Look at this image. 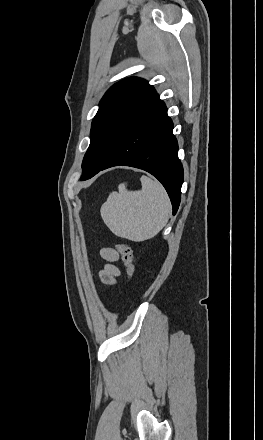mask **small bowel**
I'll return each instance as SVG.
<instances>
[{
	"label": "small bowel",
	"instance_id": "obj_1",
	"mask_svg": "<svg viewBox=\"0 0 263 440\" xmlns=\"http://www.w3.org/2000/svg\"><path fill=\"white\" fill-rule=\"evenodd\" d=\"M100 255L108 263L100 271L99 277L105 285H112L121 274L119 268L112 264L119 259V254L115 249L108 247L102 248Z\"/></svg>",
	"mask_w": 263,
	"mask_h": 440
}]
</instances>
